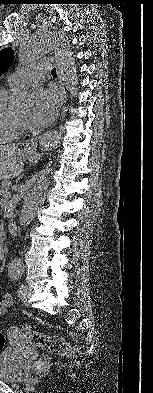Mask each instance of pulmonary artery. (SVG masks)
I'll list each match as a JSON object with an SVG mask.
<instances>
[{"label":"pulmonary artery","mask_w":153,"mask_h":393,"mask_svg":"<svg viewBox=\"0 0 153 393\" xmlns=\"http://www.w3.org/2000/svg\"><path fill=\"white\" fill-rule=\"evenodd\" d=\"M47 62L39 61L35 62L18 74H14L10 77V85L12 87H25L34 85L41 79L42 69L46 68Z\"/></svg>","instance_id":"obj_1"}]
</instances>
